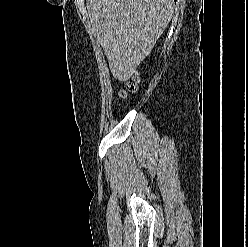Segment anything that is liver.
<instances>
[{
  "label": "liver",
  "mask_w": 248,
  "mask_h": 247,
  "mask_svg": "<svg viewBox=\"0 0 248 247\" xmlns=\"http://www.w3.org/2000/svg\"><path fill=\"white\" fill-rule=\"evenodd\" d=\"M86 6L113 77L125 82L167 28L174 0H87Z\"/></svg>",
  "instance_id": "1"
}]
</instances>
